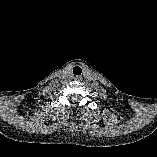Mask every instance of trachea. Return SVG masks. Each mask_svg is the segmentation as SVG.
I'll return each mask as SVG.
<instances>
[{
    "mask_svg": "<svg viewBox=\"0 0 157 157\" xmlns=\"http://www.w3.org/2000/svg\"><path fill=\"white\" fill-rule=\"evenodd\" d=\"M81 73H82V69H81V67L80 66H75L74 68H73V74L74 75H81Z\"/></svg>",
    "mask_w": 157,
    "mask_h": 157,
    "instance_id": "1",
    "label": "trachea"
}]
</instances>
